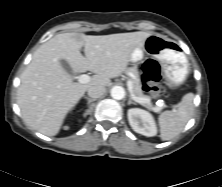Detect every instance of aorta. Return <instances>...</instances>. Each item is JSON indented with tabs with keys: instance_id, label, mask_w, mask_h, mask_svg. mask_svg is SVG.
I'll list each match as a JSON object with an SVG mask.
<instances>
[{
	"instance_id": "obj_1",
	"label": "aorta",
	"mask_w": 222,
	"mask_h": 187,
	"mask_svg": "<svg viewBox=\"0 0 222 187\" xmlns=\"http://www.w3.org/2000/svg\"><path fill=\"white\" fill-rule=\"evenodd\" d=\"M110 93L111 97L115 100H121L125 97V90L121 86H114Z\"/></svg>"
}]
</instances>
